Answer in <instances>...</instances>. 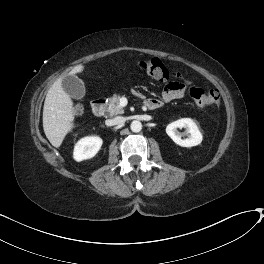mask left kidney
<instances>
[{"instance_id": "left-kidney-1", "label": "left kidney", "mask_w": 264, "mask_h": 264, "mask_svg": "<svg viewBox=\"0 0 264 264\" xmlns=\"http://www.w3.org/2000/svg\"><path fill=\"white\" fill-rule=\"evenodd\" d=\"M178 128H186V132L190 134V136L182 139ZM166 133L176 144L182 147L197 146L202 142V134L195 122L190 118H182L168 124Z\"/></svg>"}]
</instances>
